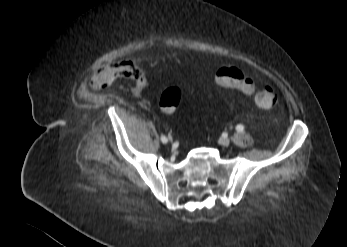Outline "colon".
<instances>
[{"label":"colon","instance_id":"obj_1","mask_svg":"<svg viewBox=\"0 0 347 247\" xmlns=\"http://www.w3.org/2000/svg\"><path fill=\"white\" fill-rule=\"evenodd\" d=\"M217 83L225 88H235L253 97L255 105L261 110H269L277 103L275 88L270 83H263L257 88L249 77L235 67L221 68L216 73ZM183 99V91L178 86L167 88L160 98V106L166 113H173Z\"/></svg>","mask_w":347,"mask_h":247}]
</instances>
